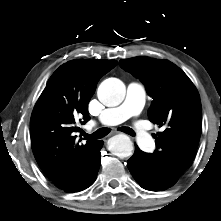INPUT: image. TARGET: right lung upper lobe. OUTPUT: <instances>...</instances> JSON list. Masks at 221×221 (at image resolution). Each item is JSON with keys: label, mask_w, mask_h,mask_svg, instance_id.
Listing matches in <instances>:
<instances>
[{"label": "right lung upper lobe", "mask_w": 221, "mask_h": 221, "mask_svg": "<svg viewBox=\"0 0 221 221\" xmlns=\"http://www.w3.org/2000/svg\"><path fill=\"white\" fill-rule=\"evenodd\" d=\"M115 60L78 59L61 65L50 77L31 116L34 156L47 177L60 189L72 185L84 171L98 141H76L79 117L89 119L87 106L100 78Z\"/></svg>", "instance_id": "cb5924a9"}]
</instances>
